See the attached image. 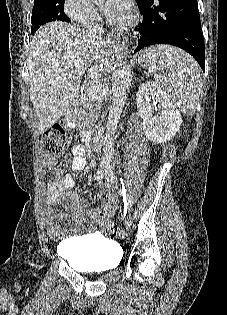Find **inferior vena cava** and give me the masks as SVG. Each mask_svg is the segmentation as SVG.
<instances>
[{
	"label": "inferior vena cava",
	"mask_w": 227,
	"mask_h": 315,
	"mask_svg": "<svg viewBox=\"0 0 227 315\" xmlns=\"http://www.w3.org/2000/svg\"><path fill=\"white\" fill-rule=\"evenodd\" d=\"M86 31L89 32L92 36L100 38L102 28L99 26L97 21H91L87 25ZM103 138H104V127L102 126V123L99 121L93 130L94 151H97L99 148H101L102 143H103ZM110 166H111V161H109L108 163H105L103 161L101 162V168H110Z\"/></svg>",
	"instance_id": "602c4592"
}]
</instances>
